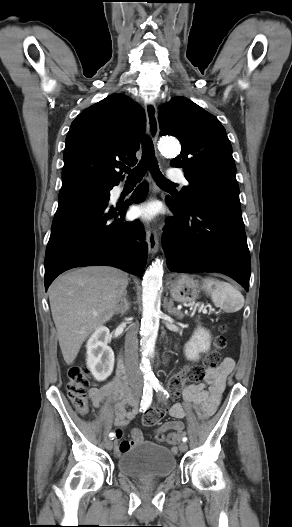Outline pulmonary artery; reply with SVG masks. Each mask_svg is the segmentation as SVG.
<instances>
[{"mask_svg":"<svg viewBox=\"0 0 292 527\" xmlns=\"http://www.w3.org/2000/svg\"><path fill=\"white\" fill-rule=\"evenodd\" d=\"M168 178L172 181L181 182L183 184H187V180L185 179L183 173L175 168H171L168 170Z\"/></svg>","mask_w":292,"mask_h":527,"instance_id":"1","label":"pulmonary artery"}]
</instances>
